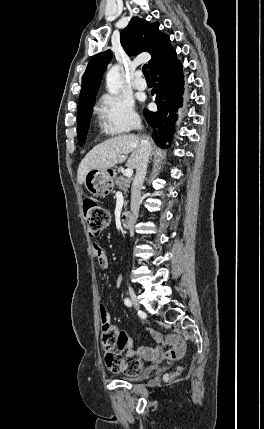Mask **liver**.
<instances>
[{"instance_id":"1","label":"liver","mask_w":264,"mask_h":429,"mask_svg":"<svg viewBox=\"0 0 264 429\" xmlns=\"http://www.w3.org/2000/svg\"><path fill=\"white\" fill-rule=\"evenodd\" d=\"M141 140L142 138L140 136L124 134L110 138L95 146L79 165L77 173L79 184L84 183L86 174L90 170L110 169L116 164L123 163L126 160L127 167L136 169L140 158ZM129 153H131L130 157H128Z\"/></svg>"}]
</instances>
